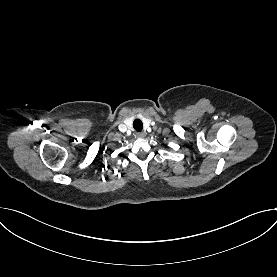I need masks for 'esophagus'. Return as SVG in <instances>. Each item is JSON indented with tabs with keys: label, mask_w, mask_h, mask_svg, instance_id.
<instances>
[{
	"label": "esophagus",
	"mask_w": 277,
	"mask_h": 277,
	"mask_svg": "<svg viewBox=\"0 0 277 277\" xmlns=\"http://www.w3.org/2000/svg\"><path fill=\"white\" fill-rule=\"evenodd\" d=\"M135 136L137 138H144L145 137V133L144 132H137Z\"/></svg>",
	"instance_id": "obj_1"
}]
</instances>
